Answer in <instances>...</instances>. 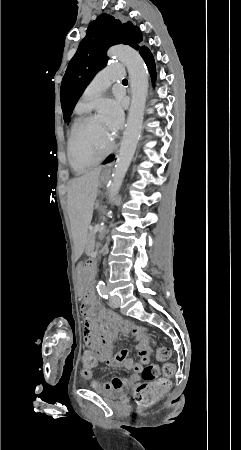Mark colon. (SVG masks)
<instances>
[{
	"label": "colon",
	"mask_w": 241,
	"mask_h": 450,
	"mask_svg": "<svg viewBox=\"0 0 241 450\" xmlns=\"http://www.w3.org/2000/svg\"><path fill=\"white\" fill-rule=\"evenodd\" d=\"M169 354V349L165 347H160L155 350V357L158 360L168 359ZM79 355L81 359H84L83 363L87 369H90L91 366H98L99 359L98 357H93L90 350H81ZM164 369L167 376H172L174 374V363L169 361L165 364ZM158 374V366L156 364H149L144 367L142 377L148 382H153L158 377ZM167 390L168 382L164 380L139 386L134 392V405L136 409L147 410L152 408Z\"/></svg>",
	"instance_id": "5ec220e1"
}]
</instances>
